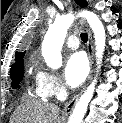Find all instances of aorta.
Masks as SVG:
<instances>
[{"label":"aorta","instance_id":"aorta-1","mask_svg":"<svg viewBox=\"0 0 122 123\" xmlns=\"http://www.w3.org/2000/svg\"><path fill=\"white\" fill-rule=\"evenodd\" d=\"M79 16L85 18L90 25L95 39V50H96V63L97 73L101 67L105 51L106 33L104 26L99 17L90 11H82ZM75 16L72 14L63 15L56 19L55 22L50 26L49 31L45 37L42 45V56L51 69H58L62 66V55L61 49L67 34V31L73 23ZM97 76V75H96ZM97 84V78L94 77L87 90L80 97L76 103L75 108L69 118V123H82L84 115L87 111L89 102L91 101L95 86Z\"/></svg>","mask_w":122,"mask_h":123}]
</instances>
